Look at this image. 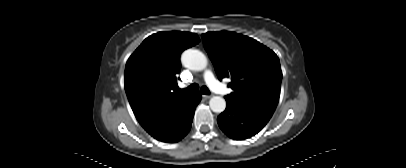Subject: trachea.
<instances>
[{
	"mask_svg": "<svg viewBox=\"0 0 406 168\" xmlns=\"http://www.w3.org/2000/svg\"><path fill=\"white\" fill-rule=\"evenodd\" d=\"M184 91L188 92V93H196L199 91V86H198V84L194 83V84L190 85L188 88H186ZM200 92L205 95L210 94V91L206 86H202L200 89Z\"/></svg>",
	"mask_w": 406,
	"mask_h": 168,
	"instance_id": "trachea-1",
	"label": "trachea"
}]
</instances>
